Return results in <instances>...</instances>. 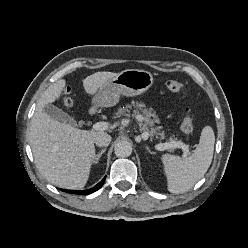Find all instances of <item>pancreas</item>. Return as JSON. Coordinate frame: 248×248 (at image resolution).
<instances>
[{
	"instance_id": "1",
	"label": "pancreas",
	"mask_w": 248,
	"mask_h": 248,
	"mask_svg": "<svg viewBox=\"0 0 248 248\" xmlns=\"http://www.w3.org/2000/svg\"><path fill=\"white\" fill-rule=\"evenodd\" d=\"M131 109H133L132 116L139 121L142 130L148 132L151 137L158 140H164L166 138L164 131H161L162 127H155V123H159L158 116L153 112L152 108L146 109L144 103L132 102L131 104H127L125 107H119L115 113V118L120 116L129 117ZM171 142L182 143L181 141H176V138L174 139L173 137L169 138L168 143Z\"/></svg>"
}]
</instances>
